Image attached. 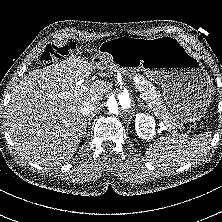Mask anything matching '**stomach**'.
<instances>
[{"mask_svg":"<svg viewBox=\"0 0 222 222\" xmlns=\"http://www.w3.org/2000/svg\"><path fill=\"white\" fill-rule=\"evenodd\" d=\"M93 62L133 74L139 69L158 83L174 116L195 123L212 101V79L202 63L171 36L151 39L121 36L100 44Z\"/></svg>","mask_w":222,"mask_h":222,"instance_id":"0dacf381","label":"stomach"}]
</instances>
